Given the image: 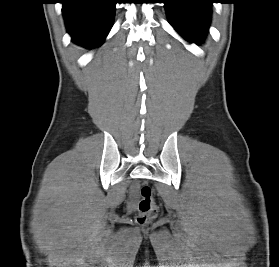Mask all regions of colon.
Segmentation results:
<instances>
[{"instance_id":"5ec220e1","label":"colon","mask_w":279,"mask_h":267,"mask_svg":"<svg viewBox=\"0 0 279 267\" xmlns=\"http://www.w3.org/2000/svg\"><path fill=\"white\" fill-rule=\"evenodd\" d=\"M140 195L141 198L138 204L139 214L136 221L140 225H145L155 218L157 206L155 204L150 186L143 185L140 189Z\"/></svg>"}]
</instances>
